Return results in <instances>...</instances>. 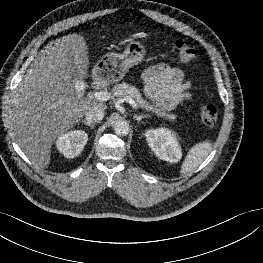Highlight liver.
<instances>
[{"label": "liver", "instance_id": "6515ba94", "mask_svg": "<svg viewBox=\"0 0 263 263\" xmlns=\"http://www.w3.org/2000/svg\"><path fill=\"white\" fill-rule=\"evenodd\" d=\"M88 66L85 39L69 34L40 51L16 88L9 120L18 146L35 166L48 167L53 142L78 123L89 108L97 105L106 109L102 101L75 97L69 74L86 79Z\"/></svg>", "mask_w": 263, "mask_h": 263}]
</instances>
